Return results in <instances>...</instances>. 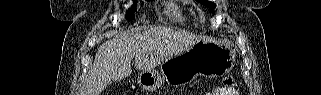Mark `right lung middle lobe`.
Here are the masks:
<instances>
[{
	"label": "right lung middle lobe",
	"mask_w": 321,
	"mask_h": 95,
	"mask_svg": "<svg viewBox=\"0 0 321 95\" xmlns=\"http://www.w3.org/2000/svg\"><path fill=\"white\" fill-rule=\"evenodd\" d=\"M135 7L133 6L129 11H128V13H127V15H126V19L127 20H132V19H134V17H135V15H134V12H135Z\"/></svg>",
	"instance_id": "dd1d6c3e"
}]
</instances>
